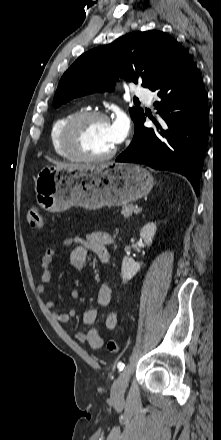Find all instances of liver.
I'll list each match as a JSON object with an SVG mask.
<instances>
[{"label": "liver", "instance_id": "1", "mask_svg": "<svg viewBox=\"0 0 221 440\" xmlns=\"http://www.w3.org/2000/svg\"><path fill=\"white\" fill-rule=\"evenodd\" d=\"M58 168H66V169H84L90 167L91 165H82V164H70V163H61L57 161H52Z\"/></svg>", "mask_w": 221, "mask_h": 440}]
</instances>
